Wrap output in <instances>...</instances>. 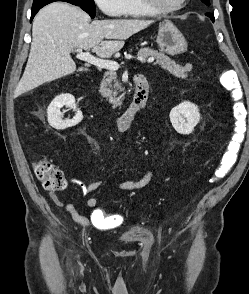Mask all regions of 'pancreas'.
Returning a JSON list of instances; mask_svg holds the SVG:
<instances>
[{
  "instance_id": "obj_1",
  "label": "pancreas",
  "mask_w": 249,
  "mask_h": 294,
  "mask_svg": "<svg viewBox=\"0 0 249 294\" xmlns=\"http://www.w3.org/2000/svg\"><path fill=\"white\" fill-rule=\"evenodd\" d=\"M138 56L140 57H155L156 64L160 65L162 69L168 71L170 74L178 78H186L187 73L191 71L192 65L186 64L181 66L176 64L164 53L151 49V48H141L138 51ZM105 79L101 82L100 92L101 95L109 100L114 107L121 106L122 97H117L118 93L123 91V88L120 86L117 80V74L115 71L110 70L104 74Z\"/></svg>"
}]
</instances>
